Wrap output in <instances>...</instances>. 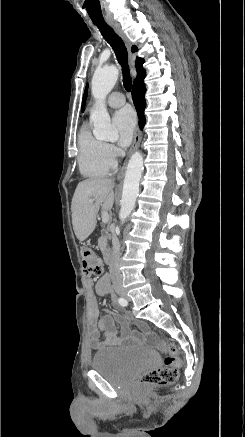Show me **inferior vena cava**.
<instances>
[{"label": "inferior vena cava", "mask_w": 245, "mask_h": 437, "mask_svg": "<svg viewBox=\"0 0 245 437\" xmlns=\"http://www.w3.org/2000/svg\"><path fill=\"white\" fill-rule=\"evenodd\" d=\"M120 243L116 234L112 235V251L109 261V272L113 286L122 284V275L119 267Z\"/></svg>", "instance_id": "inferior-vena-cava-1"}]
</instances>
